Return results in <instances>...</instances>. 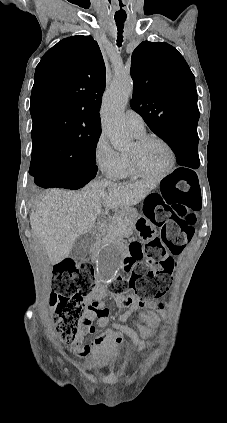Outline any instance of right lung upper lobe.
Masks as SVG:
<instances>
[{"label": "right lung upper lobe", "mask_w": 227, "mask_h": 423, "mask_svg": "<svg viewBox=\"0 0 227 423\" xmlns=\"http://www.w3.org/2000/svg\"><path fill=\"white\" fill-rule=\"evenodd\" d=\"M105 64L91 36H72L48 50L32 88L33 151L67 147L100 134Z\"/></svg>", "instance_id": "right-lung-upper-lobe-1"}]
</instances>
